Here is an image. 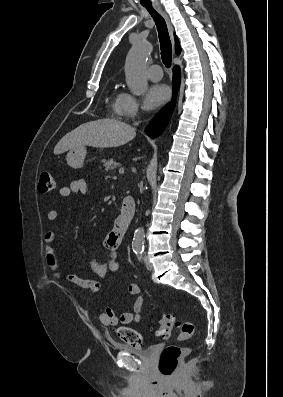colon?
<instances>
[{
	"label": "colon",
	"instance_id": "1",
	"mask_svg": "<svg viewBox=\"0 0 283 397\" xmlns=\"http://www.w3.org/2000/svg\"><path fill=\"white\" fill-rule=\"evenodd\" d=\"M55 181L49 170H43L40 173L38 181V190L40 193L48 194L54 191ZM174 326L179 329L178 337L180 339H189L193 336L195 326L192 322L176 323L174 317L167 315L162 317L158 322L156 333L162 338H168ZM118 337L125 343L140 347L142 345L141 335L134 329L128 327H119L117 329ZM190 349L180 347L174 344L166 346L161 352L159 359V370L164 377H172L180 368L182 360L189 354Z\"/></svg>",
	"mask_w": 283,
	"mask_h": 397
}]
</instances>
